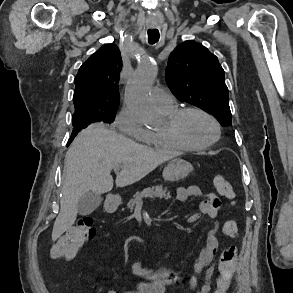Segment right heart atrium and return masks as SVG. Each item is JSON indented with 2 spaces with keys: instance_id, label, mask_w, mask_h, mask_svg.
<instances>
[{
  "instance_id": "1",
  "label": "right heart atrium",
  "mask_w": 293,
  "mask_h": 293,
  "mask_svg": "<svg viewBox=\"0 0 293 293\" xmlns=\"http://www.w3.org/2000/svg\"><path fill=\"white\" fill-rule=\"evenodd\" d=\"M114 125L124 134L140 141L147 140L151 132L143 127L126 107L120 110L114 120Z\"/></svg>"
}]
</instances>
